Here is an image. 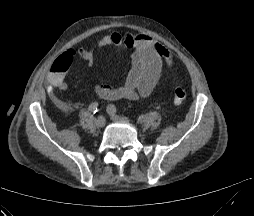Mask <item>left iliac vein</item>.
<instances>
[{
    "instance_id": "left-iliac-vein-1",
    "label": "left iliac vein",
    "mask_w": 254,
    "mask_h": 216,
    "mask_svg": "<svg viewBox=\"0 0 254 216\" xmlns=\"http://www.w3.org/2000/svg\"><path fill=\"white\" fill-rule=\"evenodd\" d=\"M111 119L115 120V121H123V122H128V119L125 118V117H121V116H118L116 115L115 113H112V112H108Z\"/></svg>"
}]
</instances>
